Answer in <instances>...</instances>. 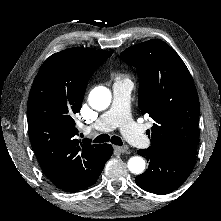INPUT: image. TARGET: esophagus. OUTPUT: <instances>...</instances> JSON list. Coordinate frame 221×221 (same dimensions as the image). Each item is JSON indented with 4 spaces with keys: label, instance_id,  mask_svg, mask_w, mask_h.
I'll return each mask as SVG.
<instances>
[{
    "label": "esophagus",
    "instance_id": "obj_1",
    "mask_svg": "<svg viewBox=\"0 0 221 221\" xmlns=\"http://www.w3.org/2000/svg\"><path fill=\"white\" fill-rule=\"evenodd\" d=\"M114 149L120 153H125L128 151L129 147L127 145L123 146H114Z\"/></svg>",
    "mask_w": 221,
    "mask_h": 221
}]
</instances>
